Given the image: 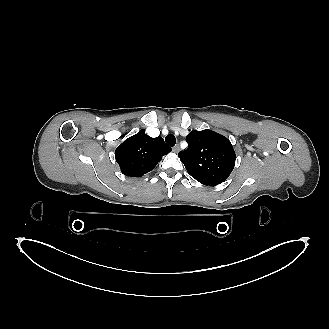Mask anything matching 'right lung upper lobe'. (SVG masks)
Wrapping results in <instances>:
<instances>
[{"mask_svg": "<svg viewBox=\"0 0 329 329\" xmlns=\"http://www.w3.org/2000/svg\"><path fill=\"white\" fill-rule=\"evenodd\" d=\"M171 151L162 137L151 138L141 129L117 147L115 158L126 176L141 177Z\"/></svg>", "mask_w": 329, "mask_h": 329, "instance_id": "1", "label": "right lung upper lobe"}]
</instances>
